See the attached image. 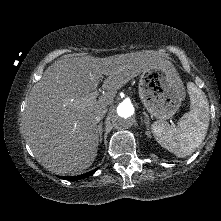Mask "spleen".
<instances>
[{
    "mask_svg": "<svg viewBox=\"0 0 221 221\" xmlns=\"http://www.w3.org/2000/svg\"><path fill=\"white\" fill-rule=\"evenodd\" d=\"M190 111L185 113L176 127L157 121L152 125L156 141L177 157L191 155L205 139L209 126V103L205 93L193 82L187 84Z\"/></svg>",
    "mask_w": 221,
    "mask_h": 221,
    "instance_id": "1",
    "label": "spleen"
}]
</instances>
